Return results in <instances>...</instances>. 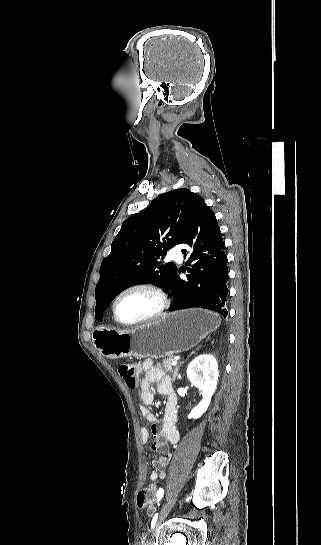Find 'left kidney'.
I'll return each instance as SVG.
<instances>
[{
  "instance_id": "5707ae66",
  "label": "left kidney",
  "mask_w": 321,
  "mask_h": 545,
  "mask_svg": "<svg viewBox=\"0 0 321 545\" xmlns=\"http://www.w3.org/2000/svg\"><path fill=\"white\" fill-rule=\"evenodd\" d=\"M186 373L190 383L202 391L203 397L199 405L192 409L188 419H199L206 413L215 393L219 377L218 363L213 355H199L188 365Z\"/></svg>"
}]
</instances>
